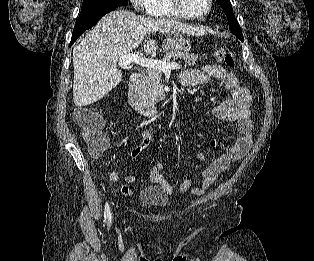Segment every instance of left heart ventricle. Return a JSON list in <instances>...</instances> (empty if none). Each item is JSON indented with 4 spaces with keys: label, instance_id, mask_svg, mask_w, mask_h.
<instances>
[{
    "label": "left heart ventricle",
    "instance_id": "left-heart-ventricle-1",
    "mask_svg": "<svg viewBox=\"0 0 314 261\" xmlns=\"http://www.w3.org/2000/svg\"><path fill=\"white\" fill-rule=\"evenodd\" d=\"M184 7L192 14H202L208 8V0H181Z\"/></svg>",
    "mask_w": 314,
    "mask_h": 261
}]
</instances>
